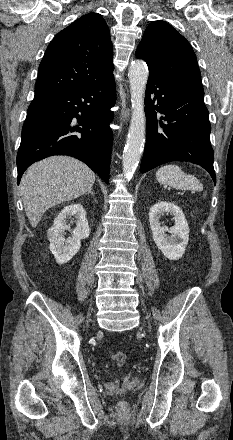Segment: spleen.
Here are the masks:
<instances>
[{
	"instance_id": "spleen-1",
	"label": "spleen",
	"mask_w": 233,
	"mask_h": 440,
	"mask_svg": "<svg viewBox=\"0 0 233 440\" xmlns=\"http://www.w3.org/2000/svg\"><path fill=\"white\" fill-rule=\"evenodd\" d=\"M156 178L159 183L176 189L203 190V185L196 177L183 172L175 164H166L160 167L156 172Z\"/></svg>"
}]
</instances>
